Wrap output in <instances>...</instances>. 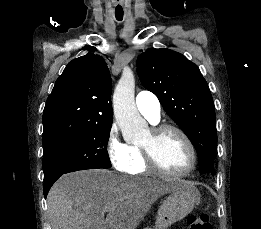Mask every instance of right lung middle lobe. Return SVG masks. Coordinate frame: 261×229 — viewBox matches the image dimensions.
Masks as SVG:
<instances>
[{
    "label": "right lung middle lobe",
    "instance_id": "right-lung-middle-lobe-1",
    "mask_svg": "<svg viewBox=\"0 0 261 229\" xmlns=\"http://www.w3.org/2000/svg\"><path fill=\"white\" fill-rule=\"evenodd\" d=\"M111 126L93 125L69 140L44 148V181L78 170L110 168L107 143Z\"/></svg>",
    "mask_w": 261,
    "mask_h": 229
}]
</instances>
